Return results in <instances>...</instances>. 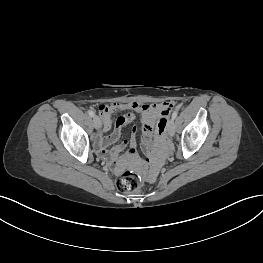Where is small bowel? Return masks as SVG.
I'll use <instances>...</instances> for the list:
<instances>
[{"label": "small bowel", "mask_w": 263, "mask_h": 263, "mask_svg": "<svg viewBox=\"0 0 263 263\" xmlns=\"http://www.w3.org/2000/svg\"><path fill=\"white\" fill-rule=\"evenodd\" d=\"M162 103L165 105V110L163 112L145 111L137 113L142 119L141 145L146 155L151 158L144 157L142 159V164L137 153L136 128H133V132L129 139L121 140L122 129L133 122L134 114L127 113L126 115L118 117L114 127L111 114H100L103 121V128L102 132L95 140V146L98 153L108 158L115 166L121 167L127 164L134 166L138 165L137 171L139 173L148 172L145 176V181L147 183H152L154 181V176L157 174L162 164L163 147L161 141L164 139V135L167 132L166 126L171 121V117L179 109V104L174 100ZM108 104L109 103L104 105ZM112 127L113 130L111 131ZM109 131H111L110 134L103 135V133ZM124 150V155L119 157Z\"/></svg>", "instance_id": "c3829d8e"}]
</instances>
